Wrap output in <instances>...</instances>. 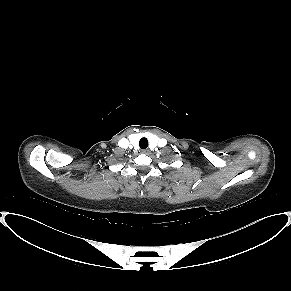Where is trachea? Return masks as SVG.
<instances>
[{"instance_id": "trachea-1", "label": "trachea", "mask_w": 291, "mask_h": 291, "mask_svg": "<svg viewBox=\"0 0 291 291\" xmlns=\"http://www.w3.org/2000/svg\"><path fill=\"white\" fill-rule=\"evenodd\" d=\"M139 146L141 149H146L148 147V140L147 138L143 137L139 141Z\"/></svg>"}]
</instances>
